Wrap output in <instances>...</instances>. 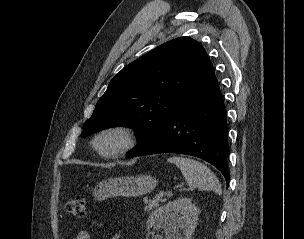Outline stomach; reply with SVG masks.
Returning a JSON list of instances; mask_svg holds the SVG:
<instances>
[{"label":"stomach","instance_id":"1","mask_svg":"<svg viewBox=\"0 0 304 239\" xmlns=\"http://www.w3.org/2000/svg\"><path fill=\"white\" fill-rule=\"evenodd\" d=\"M156 185L157 180L150 175L108 178L97 184L93 196L99 201L115 196H141L151 192Z\"/></svg>","mask_w":304,"mask_h":239}]
</instances>
